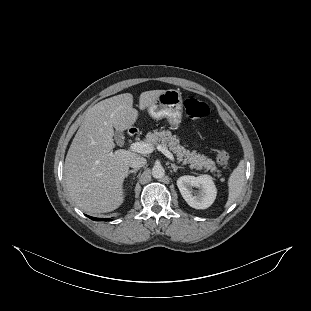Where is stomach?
I'll return each instance as SVG.
<instances>
[{
  "mask_svg": "<svg viewBox=\"0 0 311 311\" xmlns=\"http://www.w3.org/2000/svg\"><path fill=\"white\" fill-rule=\"evenodd\" d=\"M148 113L154 120L166 119L172 129H178L183 115V98L180 91L168 89L148 107Z\"/></svg>",
  "mask_w": 311,
  "mask_h": 311,
  "instance_id": "obj_1",
  "label": "stomach"
}]
</instances>
